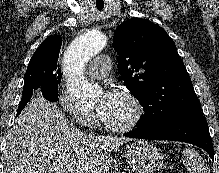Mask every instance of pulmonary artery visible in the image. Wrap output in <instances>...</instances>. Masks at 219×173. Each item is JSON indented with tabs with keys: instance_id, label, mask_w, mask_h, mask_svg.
Here are the masks:
<instances>
[{
	"instance_id": "1",
	"label": "pulmonary artery",
	"mask_w": 219,
	"mask_h": 173,
	"mask_svg": "<svg viewBox=\"0 0 219 173\" xmlns=\"http://www.w3.org/2000/svg\"><path fill=\"white\" fill-rule=\"evenodd\" d=\"M110 67V58L106 55H99L90 62L87 72L89 77L99 79L107 75Z\"/></svg>"
}]
</instances>
